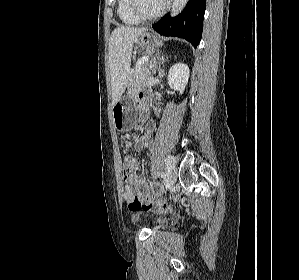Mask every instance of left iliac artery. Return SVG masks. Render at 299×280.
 <instances>
[{
    "label": "left iliac artery",
    "instance_id": "left-iliac-artery-1",
    "mask_svg": "<svg viewBox=\"0 0 299 280\" xmlns=\"http://www.w3.org/2000/svg\"><path fill=\"white\" fill-rule=\"evenodd\" d=\"M175 163H176V161H175L174 156L169 155L166 160V166H167L168 171H170L172 168L175 167Z\"/></svg>",
    "mask_w": 299,
    "mask_h": 280
}]
</instances>
